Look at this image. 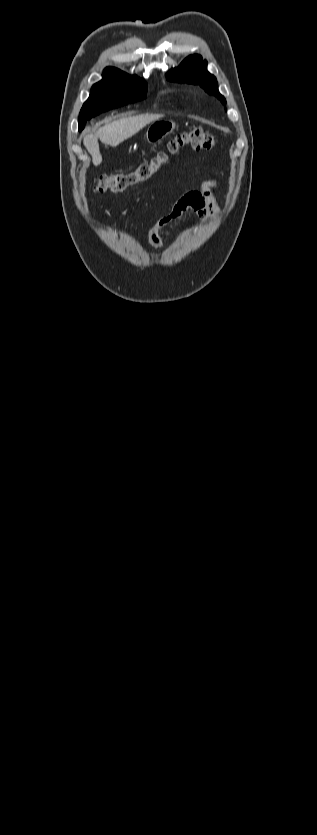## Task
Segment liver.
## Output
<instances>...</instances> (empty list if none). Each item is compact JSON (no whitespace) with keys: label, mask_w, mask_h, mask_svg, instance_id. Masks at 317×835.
<instances>
[{"label":"liver","mask_w":317,"mask_h":835,"mask_svg":"<svg viewBox=\"0 0 317 835\" xmlns=\"http://www.w3.org/2000/svg\"><path fill=\"white\" fill-rule=\"evenodd\" d=\"M156 120H158L157 116L149 114L124 117L107 122L104 126L99 128L96 134L86 135L83 143L92 156L93 164L98 166L102 163L98 139H100V141L105 145L116 147L123 141L137 134L146 125Z\"/></svg>","instance_id":"obj_1"}]
</instances>
